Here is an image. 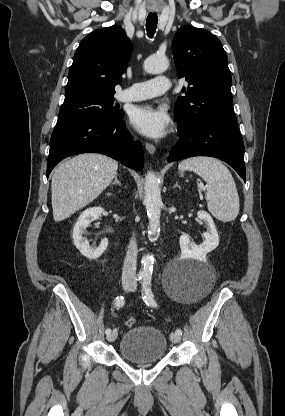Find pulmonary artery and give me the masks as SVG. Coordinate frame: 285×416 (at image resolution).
<instances>
[{
  "instance_id": "e3ab8cb5",
  "label": "pulmonary artery",
  "mask_w": 285,
  "mask_h": 416,
  "mask_svg": "<svg viewBox=\"0 0 285 416\" xmlns=\"http://www.w3.org/2000/svg\"><path fill=\"white\" fill-rule=\"evenodd\" d=\"M168 82L167 77L157 76L144 82L134 83L131 87H122L116 98L119 101H137L159 96L169 89Z\"/></svg>"
}]
</instances>
